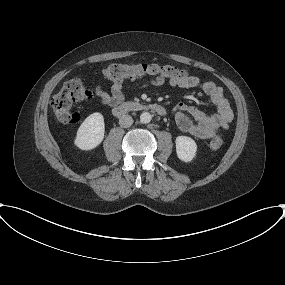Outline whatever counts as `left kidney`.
Returning a JSON list of instances; mask_svg holds the SVG:
<instances>
[{"label": "left kidney", "instance_id": "left-kidney-1", "mask_svg": "<svg viewBox=\"0 0 285 285\" xmlns=\"http://www.w3.org/2000/svg\"><path fill=\"white\" fill-rule=\"evenodd\" d=\"M178 158L184 162H190L196 157L197 144L187 136H178L175 140Z\"/></svg>", "mask_w": 285, "mask_h": 285}]
</instances>
